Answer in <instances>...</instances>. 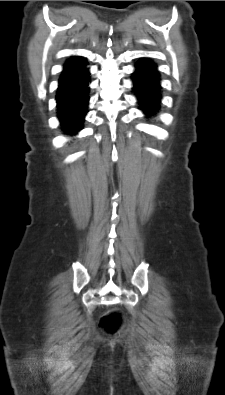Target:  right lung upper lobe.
<instances>
[{"mask_svg":"<svg viewBox=\"0 0 225 395\" xmlns=\"http://www.w3.org/2000/svg\"><path fill=\"white\" fill-rule=\"evenodd\" d=\"M84 63H86V61H84L81 57H79V56H72L70 59H68L65 62L64 68L80 66V65H82Z\"/></svg>","mask_w":225,"mask_h":395,"instance_id":"right-lung-upper-lobe-1","label":"right lung upper lobe"}]
</instances>
